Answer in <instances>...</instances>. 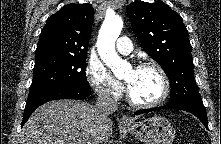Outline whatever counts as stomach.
Wrapping results in <instances>:
<instances>
[{"label":"stomach","mask_w":221,"mask_h":144,"mask_svg":"<svg viewBox=\"0 0 221 144\" xmlns=\"http://www.w3.org/2000/svg\"><path fill=\"white\" fill-rule=\"evenodd\" d=\"M123 129L144 144H172L175 129L164 117L153 116L124 126Z\"/></svg>","instance_id":"0dacf381"}]
</instances>
